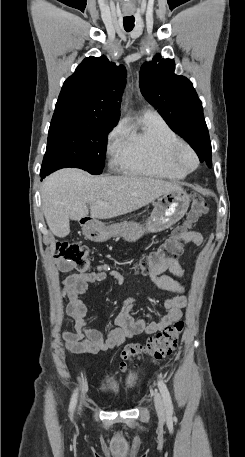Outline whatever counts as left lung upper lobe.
<instances>
[{"instance_id": "obj_1", "label": "left lung upper lobe", "mask_w": 245, "mask_h": 457, "mask_svg": "<svg viewBox=\"0 0 245 457\" xmlns=\"http://www.w3.org/2000/svg\"><path fill=\"white\" fill-rule=\"evenodd\" d=\"M156 55L140 69L139 85L145 99L161 114L170 128L196 151L210 142L203 108L192 83L174 74L175 63Z\"/></svg>"}]
</instances>
